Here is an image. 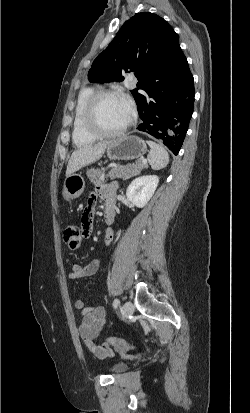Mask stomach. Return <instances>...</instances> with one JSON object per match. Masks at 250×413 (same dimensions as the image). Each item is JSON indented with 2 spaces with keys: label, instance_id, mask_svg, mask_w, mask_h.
Masks as SVG:
<instances>
[{
  "label": "stomach",
  "instance_id": "stomach-1",
  "mask_svg": "<svg viewBox=\"0 0 250 413\" xmlns=\"http://www.w3.org/2000/svg\"><path fill=\"white\" fill-rule=\"evenodd\" d=\"M107 156L111 160H133L142 157L146 151V143L137 136H123L110 141L106 147ZM85 183L81 175L72 174L65 178L63 197L71 202L78 198L84 189Z\"/></svg>",
  "mask_w": 250,
  "mask_h": 413
}]
</instances>
